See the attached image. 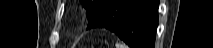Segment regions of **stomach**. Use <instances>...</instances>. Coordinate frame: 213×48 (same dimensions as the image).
Returning <instances> with one entry per match:
<instances>
[{
	"label": "stomach",
	"instance_id": "stomach-1",
	"mask_svg": "<svg viewBox=\"0 0 213 48\" xmlns=\"http://www.w3.org/2000/svg\"><path fill=\"white\" fill-rule=\"evenodd\" d=\"M97 32H100V33H107V31H105V30H97Z\"/></svg>",
	"mask_w": 213,
	"mask_h": 48
}]
</instances>
